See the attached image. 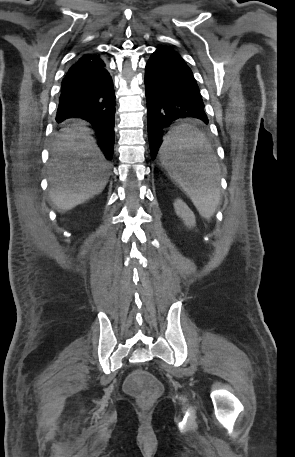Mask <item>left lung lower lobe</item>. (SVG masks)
Listing matches in <instances>:
<instances>
[{
  "label": "left lung lower lobe",
  "instance_id": "obj_1",
  "mask_svg": "<svg viewBox=\"0 0 295 457\" xmlns=\"http://www.w3.org/2000/svg\"><path fill=\"white\" fill-rule=\"evenodd\" d=\"M144 81L149 144L155 159L172 121L193 117L207 124L208 118L193 73L177 51L158 47L146 64ZM191 159L203 163L194 153Z\"/></svg>",
  "mask_w": 295,
  "mask_h": 457
}]
</instances>
